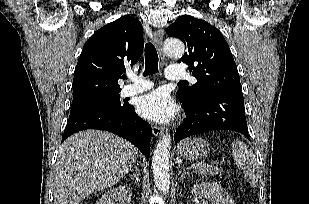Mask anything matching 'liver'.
Returning a JSON list of instances; mask_svg holds the SVG:
<instances>
[{
	"label": "liver",
	"mask_w": 309,
	"mask_h": 204,
	"mask_svg": "<svg viewBox=\"0 0 309 204\" xmlns=\"http://www.w3.org/2000/svg\"><path fill=\"white\" fill-rule=\"evenodd\" d=\"M139 152L128 141L99 130L76 133L59 148L54 169V204H79L93 192L117 184Z\"/></svg>",
	"instance_id": "1"
}]
</instances>
